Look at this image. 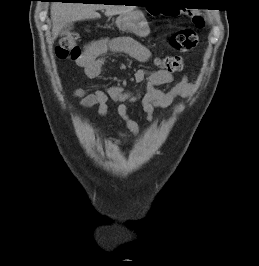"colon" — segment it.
I'll return each instance as SVG.
<instances>
[{
	"label": "colon",
	"mask_w": 259,
	"mask_h": 266,
	"mask_svg": "<svg viewBox=\"0 0 259 266\" xmlns=\"http://www.w3.org/2000/svg\"><path fill=\"white\" fill-rule=\"evenodd\" d=\"M164 15H169L163 13ZM196 28H203L205 25L204 17L197 14H190ZM79 34L69 32L64 35L56 47V55L60 59H79L81 56L80 49L77 45ZM198 35L191 28H181L173 31L168 36L167 42L169 46L178 52H188L198 45ZM156 66L167 72H177L183 67V60L179 55H168L156 59Z\"/></svg>",
	"instance_id": "5ec220e1"
}]
</instances>
